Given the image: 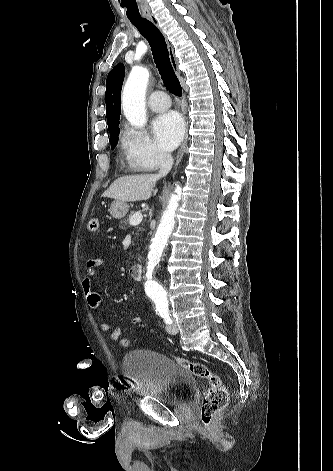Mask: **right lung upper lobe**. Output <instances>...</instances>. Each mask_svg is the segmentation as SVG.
<instances>
[{
    "label": "right lung upper lobe",
    "instance_id": "obj_1",
    "mask_svg": "<svg viewBox=\"0 0 333 471\" xmlns=\"http://www.w3.org/2000/svg\"><path fill=\"white\" fill-rule=\"evenodd\" d=\"M124 79V66L117 64L108 74L106 80V115L109 131H112L119 125L120 119V96Z\"/></svg>",
    "mask_w": 333,
    "mask_h": 471
}]
</instances>
